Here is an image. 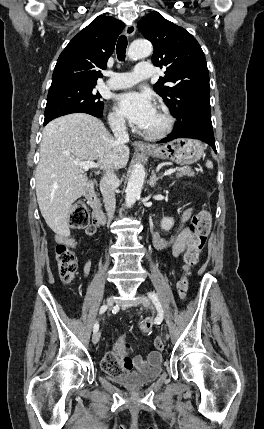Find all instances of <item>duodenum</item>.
Returning a JSON list of instances; mask_svg holds the SVG:
<instances>
[{
  "label": "duodenum",
  "instance_id": "1",
  "mask_svg": "<svg viewBox=\"0 0 264 429\" xmlns=\"http://www.w3.org/2000/svg\"><path fill=\"white\" fill-rule=\"evenodd\" d=\"M84 196L93 211L94 220L100 225L106 224L107 218L102 210L101 203L96 195L93 182L90 181L87 183L84 190Z\"/></svg>",
  "mask_w": 264,
  "mask_h": 429
}]
</instances>
